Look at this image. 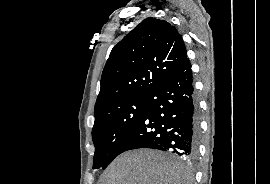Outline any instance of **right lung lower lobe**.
Instances as JSON below:
<instances>
[{"label":"right lung lower lobe","instance_id":"1","mask_svg":"<svg viewBox=\"0 0 270 184\" xmlns=\"http://www.w3.org/2000/svg\"><path fill=\"white\" fill-rule=\"evenodd\" d=\"M198 131L192 70L187 59L147 95L146 112L118 153L153 148L194 157Z\"/></svg>","mask_w":270,"mask_h":184}]
</instances>
